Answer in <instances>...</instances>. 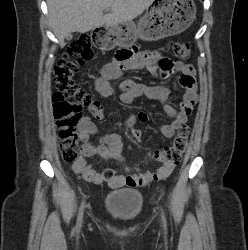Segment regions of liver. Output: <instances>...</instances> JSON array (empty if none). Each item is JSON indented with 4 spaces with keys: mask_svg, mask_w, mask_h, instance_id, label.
I'll list each match as a JSON object with an SVG mask.
<instances>
[{
    "mask_svg": "<svg viewBox=\"0 0 248 250\" xmlns=\"http://www.w3.org/2000/svg\"><path fill=\"white\" fill-rule=\"evenodd\" d=\"M155 0H47L48 17L59 45L72 32L85 33L103 25L132 21ZM110 10L103 15V11Z\"/></svg>",
    "mask_w": 248,
    "mask_h": 250,
    "instance_id": "obj_1",
    "label": "liver"
}]
</instances>
